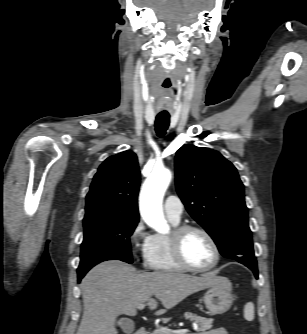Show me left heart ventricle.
Returning a JSON list of instances; mask_svg holds the SVG:
<instances>
[{
    "instance_id": "1",
    "label": "left heart ventricle",
    "mask_w": 307,
    "mask_h": 334,
    "mask_svg": "<svg viewBox=\"0 0 307 334\" xmlns=\"http://www.w3.org/2000/svg\"><path fill=\"white\" fill-rule=\"evenodd\" d=\"M183 252L188 262L196 267H206L214 260V250L207 238L199 232H190L183 241Z\"/></svg>"
}]
</instances>
